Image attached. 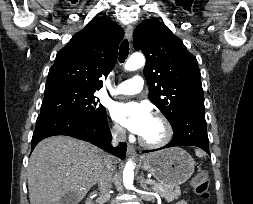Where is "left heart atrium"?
<instances>
[{
	"label": "left heart atrium",
	"mask_w": 253,
	"mask_h": 204,
	"mask_svg": "<svg viewBox=\"0 0 253 204\" xmlns=\"http://www.w3.org/2000/svg\"><path fill=\"white\" fill-rule=\"evenodd\" d=\"M114 119L129 131L141 135L153 116L150 108L135 101L118 103L113 107Z\"/></svg>",
	"instance_id": "1"
}]
</instances>
